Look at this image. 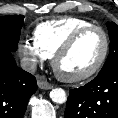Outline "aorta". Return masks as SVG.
Here are the masks:
<instances>
[{
	"instance_id": "762f6f07",
	"label": "aorta",
	"mask_w": 118,
	"mask_h": 118,
	"mask_svg": "<svg viewBox=\"0 0 118 118\" xmlns=\"http://www.w3.org/2000/svg\"><path fill=\"white\" fill-rule=\"evenodd\" d=\"M50 98L57 104H63L67 99L66 93L62 88H55L50 91Z\"/></svg>"
}]
</instances>
